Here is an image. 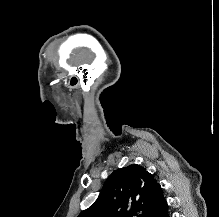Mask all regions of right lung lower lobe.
Returning a JSON list of instances; mask_svg holds the SVG:
<instances>
[{"label":"right lung lower lobe","mask_w":219,"mask_h":217,"mask_svg":"<svg viewBox=\"0 0 219 217\" xmlns=\"http://www.w3.org/2000/svg\"><path fill=\"white\" fill-rule=\"evenodd\" d=\"M160 217H170L167 212V209L160 215Z\"/></svg>","instance_id":"obj_1"}]
</instances>
